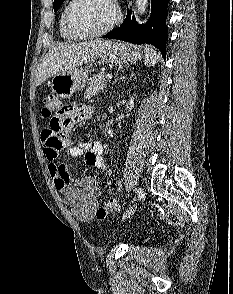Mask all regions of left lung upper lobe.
<instances>
[{
  "mask_svg": "<svg viewBox=\"0 0 233 294\" xmlns=\"http://www.w3.org/2000/svg\"><path fill=\"white\" fill-rule=\"evenodd\" d=\"M63 2L64 0H54V3H53L54 11L58 10V8L62 5Z\"/></svg>",
  "mask_w": 233,
  "mask_h": 294,
  "instance_id": "1",
  "label": "left lung upper lobe"
}]
</instances>
